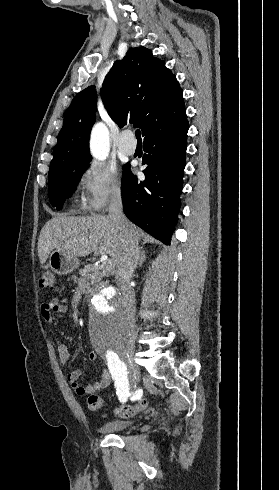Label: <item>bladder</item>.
<instances>
[{
    "instance_id": "obj_1",
    "label": "bladder",
    "mask_w": 279,
    "mask_h": 490,
    "mask_svg": "<svg viewBox=\"0 0 279 490\" xmlns=\"http://www.w3.org/2000/svg\"><path fill=\"white\" fill-rule=\"evenodd\" d=\"M133 424V419H115L110 421H104L99 430L105 432L107 435H119L122 432L128 430Z\"/></svg>"
}]
</instances>
